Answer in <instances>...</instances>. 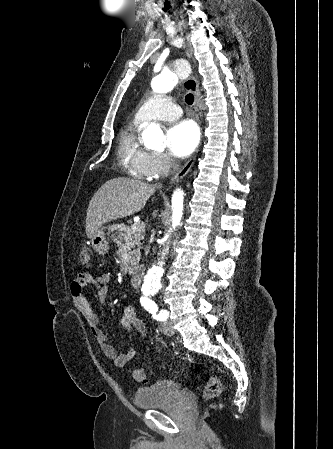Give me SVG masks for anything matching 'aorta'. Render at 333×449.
<instances>
[{
	"label": "aorta",
	"mask_w": 333,
	"mask_h": 449,
	"mask_svg": "<svg viewBox=\"0 0 333 449\" xmlns=\"http://www.w3.org/2000/svg\"><path fill=\"white\" fill-rule=\"evenodd\" d=\"M182 62L179 63L181 67ZM189 71L188 63L183 66V71L177 69L175 72L163 71L155 76L151 82V87L156 93H167L173 89L176 82L181 78L182 73ZM142 138L147 147L157 151L165 149V138L159 125L150 124L142 133ZM186 197L185 188L180 186L175 189L172 195V225L161 229L157 237V242L162 245L157 264H153L144 278L142 286L143 295H151L161 288V276L163 272L164 258L168 253L169 246L174 237V229L179 224L183 212V203Z\"/></svg>",
	"instance_id": "762f6f07"
}]
</instances>
